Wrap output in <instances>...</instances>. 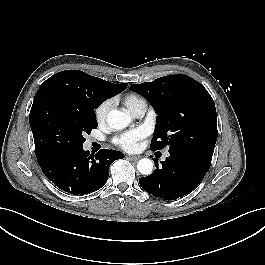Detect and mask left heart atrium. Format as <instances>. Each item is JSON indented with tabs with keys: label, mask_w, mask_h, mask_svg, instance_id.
I'll return each instance as SVG.
<instances>
[{
	"label": "left heart atrium",
	"mask_w": 265,
	"mask_h": 265,
	"mask_svg": "<svg viewBox=\"0 0 265 265\" xmlns=\"http://www.w3.org/2000/svg\"><path fill=\"white\" fill-rule=\"evenodd\" d=\"M145 136L141 128L124 132L114 138L113 142L125 151H135L139 148V141Z\"/></svg>",
	"instance_id": "1"
}]
</instances>
